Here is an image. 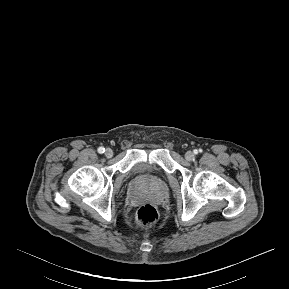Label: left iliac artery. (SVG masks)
Returning a JSON list of instances; mask_svg holds the SVG:
<instances>
[{
    "label": "left iliac artery",
    "mask_w": 289,
    "mask_h": 289,
    "mask_svg": "<svg viewBox=\"0 0 289 289\" xmlns=\"http://www.w3.org/2000/svg\"><path fill=\"white\" fill-rule=\"evenodd\" d=\"M194 153H195V154H197V153H198V151H197V150H195V151H194Z\"/></svg>",
    "instance_id": "obj_1"
}]
</instances>
